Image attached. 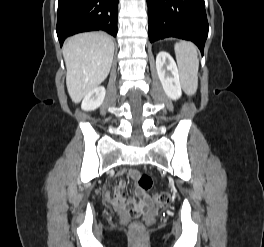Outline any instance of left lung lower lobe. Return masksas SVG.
Segmentation results:
<instances>
[{
  "label": "left lung lower lobe",
  "mask_w": 264,
  "mask_h": 247,
  "mask_svg": "<svg viewBox=\"0 0 264 247\" xmlns=\"http://www.w3.org/2000/svg\"><path fill=\"white\" fill-rule=\"evenodd\" d=\"M149 40L176 37L194 42L203 53L208 35L204 0H147Z\"/></svg>",
  "instance_id": "obj_1"
}]
</instances>
